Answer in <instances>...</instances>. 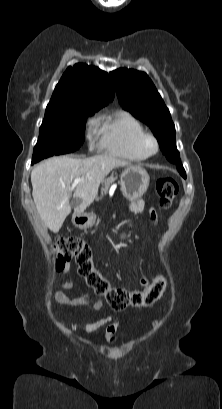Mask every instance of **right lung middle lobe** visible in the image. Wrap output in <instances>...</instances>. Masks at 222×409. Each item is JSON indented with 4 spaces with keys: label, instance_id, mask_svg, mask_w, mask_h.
<instances>
[{
    "label": "right lung middle lobe",
    "instance_id": "dd1d6c3e",
    "mask_svg": "<svg viewBox=\"0 0 222 409\" xmlns=\"http://www.w3.org/2000/svg\"><path fill=\"white\" fill-rule=\"evenodd\" d=\"M97 110L93 107L46 110L34 147L32 164L53 155L77 150L84 141L86 119Z\"/></svg>",
    "mask_w": 222,
    "mask_h": 409
}]
</instances>
